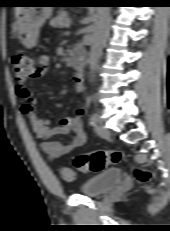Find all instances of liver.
Listing matches in <instances>:
<instances>
[{
    "instance_id": "6515ba94",
    "label": "liver",
    "mask_w": 170,
    "mask_h": 231,
    "mask_svg": "<svg viewBox=\"0 0 170 231\" xmlns=\"http://www.w3.org/2000/svg\"><path fill=\"white\" fill-rule=\"evenodd\" d=\"M23 7H16L15 8V16L18 17V15L22 12Z\"/></svg>"
}]
</instances>
